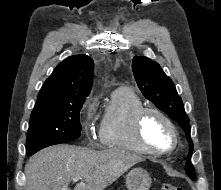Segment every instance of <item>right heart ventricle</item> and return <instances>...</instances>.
<instances>
[{
    "label": "right heart ventricle",
    "mask_w": 221,
    "mask_h": 190,
    "mask_svg": "<svg viewBox=\"0 0 221 190\" xmlns=\"http://www.w3.org/2000/svg\"><path fill=\"white\" fill-rule=\"evenodd\" d=\"M144 102L130 87L116 88L105 107L99 126V140L104 148L147 154L135 140L134 118Z\"/></svg>",
    "instance_id": "obj_1"
}]
</instances>
